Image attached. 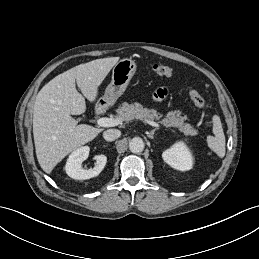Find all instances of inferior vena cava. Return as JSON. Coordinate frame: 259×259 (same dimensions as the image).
I'll use <instances>...</instances> for the list:
<instances>
[{"mask_svg":"<svg viewBox=\"0 0 259 259\" xmlns=\"http://www.w3.org/2000/svg\"><path fill=\"white\" fill-rule=\"evenodd\" d=\"M121 132L118 129H108L106 131H104L103 133V138L106 141H114L116 140L118 137H120Z\"/></svg>","mask_w":259,"mask_h":259,"instance_id":"obj_1","label":"inferior vena cava"}]
</instances>
